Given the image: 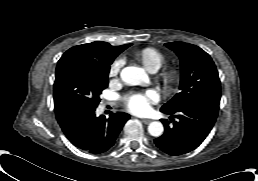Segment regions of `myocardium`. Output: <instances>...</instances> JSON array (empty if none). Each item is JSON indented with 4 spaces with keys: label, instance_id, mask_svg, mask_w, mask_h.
<instances>
[{
    "label": "myocardium",
    "instance_id": "1",
    "mask_svg": "<svg viewBox=\"0 0 258 181\" xmlns=\"http://www.w3.org/2000/svg\"><path fill=\"white\" fill-rule=\"evenodd\" d=\"M179 79V71L176 68H170L161 74V81L165 86L175 84Z\"/></svg>",
    "mask_w": 258,
    "mask_h": 181
}]
</instances>
